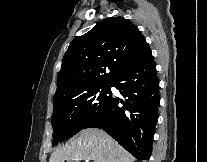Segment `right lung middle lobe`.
<instances>
[{
    "mask_svg": "<svg viewBox=\"0 0 207 162\" xmlns=\"http://www.w3.org/2000/svg\"><path fill=\"white\" fill-rule=\"evenodd\" d=\"M112 84L68 94L53 99L54 143L70 138L85 128L86 124L110 101Z\"/></svg>",
    "mask_w": 207,
    "mask_h": 162,
    "instance_id": "obj_1",
    "label": "right lung middle lobe"
}]
</instances>
